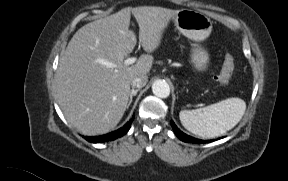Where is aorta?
<instances>
[{
  "instance_id": "aorta-1",
  "label": "aorta",
  "mask_w": 288,
  "mask_h": 181,
  "mask_svg": "<svg viewBox=\"0 0 288 181\" xmlns=\"http://www.w3.org/2000/svg\"><path fill=\"white\" fill-rule=\"evenodd\" d=\"M152 92L160 98H167L170 94L169 84L165 80H156L152 85Z\"/></svg>"
}]
</instances>
